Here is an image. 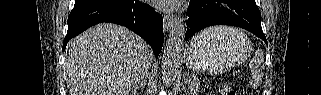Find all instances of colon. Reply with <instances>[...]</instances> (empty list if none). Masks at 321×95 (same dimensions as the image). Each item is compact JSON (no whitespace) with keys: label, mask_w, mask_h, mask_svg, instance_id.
Returning <instances> with one entry per match:
<instances>
[{"label":"colon","mask_w":321,"mask_h":95,"mask_svg":"<svg viewBox=\"0 0 321 95\" xmlns=\"http://www.w3.org/2000/svg\"><path fill=\"white\" fill-rule=\"evenodd\" d=\"M220 94L221 95H235V92L230 86L223 85L220 89Z\"/></svg>","instance_id":"5ec220e1"}]
</instances>
